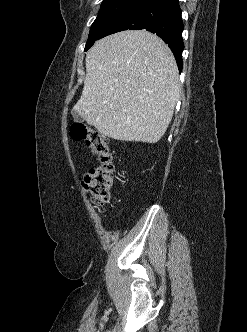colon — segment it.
Returning a JSON list of instances; mask_svg holds the SVG:
<instances>
[{"label": "colon", "mask_w": 247, "mask_h": 332, "mask_svg": "<svg viewBox=\"0 0 247 332\" xmlns=\"http://www.w3.org/2000/svg\"><path fill=\"white\" fill-rule=\"evenodd\" d=\"M71 137L83 140L92 150L97 164L84 176L82 185L97 206L108 203L114 184V165L107 138L98 130L83 123H74L70 129Z\"/></svg>", "instance_id": "5ec220e1"}]
</instances>
